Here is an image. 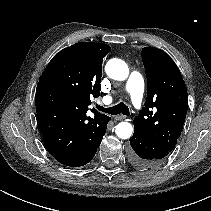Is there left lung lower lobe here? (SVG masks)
I'll use <instances>...</instances> for the list:
<instances>
[{
    "label": "left lung lower lobe",
    "instance_id": "obj_1",
    "mask_svg": "<svg viewBox=\"0 0 211 211\" xmlns=\"http://www.w3.org/2000/svg\"><path fill=\"white\" fill-rule=\"evenodd\" d=\"M129 160L137 168L151 169L158 167L171 152L163 145L143 135L134 129L133 136L129 139Z\"/></svg>",
    "mask_w": 211,
    "mask_h": 211
}]
</instances>
